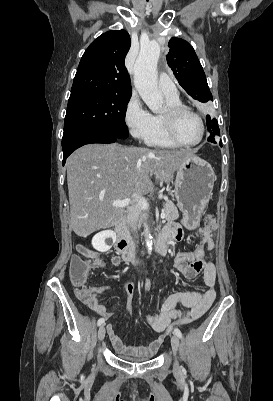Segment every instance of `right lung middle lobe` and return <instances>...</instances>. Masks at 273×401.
<instances>
[{
    "label": "right lung middle lobe",
    "instance_id": "right-lung-middle-lobe-1",
    "mask_svg": "<svg viewBox=\"0 0 273 401\" xmlns=\"http://www.w3.org/2000/svg\"><path fill=\"white\" fill-rule=\"evenodd\" d=\"M131 95L84 93L70 96L65 116L64 133L73 129H92L128 137L126 107Z\"/></svg>",
    "mask_w": 273,
    "mask_h": 401
}]
</instances>
